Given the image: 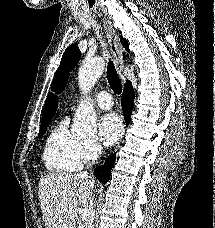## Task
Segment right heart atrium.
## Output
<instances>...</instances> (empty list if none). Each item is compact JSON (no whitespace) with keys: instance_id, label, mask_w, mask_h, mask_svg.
Listing matches in <instances>:
<instances>
[{"instance_id":"d8ad5b80","label":"right heart atrium","mask_w":215,"mask_h":228,"mask_svg":"<svg viewBox=\"0 0 215 228\" xmlns=\"http://www.w3.org/2000/svg\"><path fill=\"white\" fill-rule=\"evenodd\" d=\"M102 148L96 143H84L82 146V158L84 162H92L101 156Z\"/></svg>"}]
</instances>
